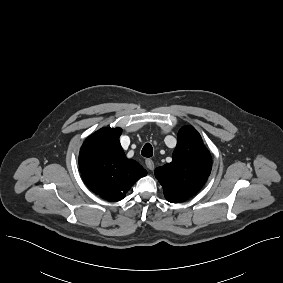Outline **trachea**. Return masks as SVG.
I'll list each match as a JSON object with an SVG mask.
<instances>
[{
    "label": "trachea",
    "instance_id": "3493384b",
    "mask_svg": "<svg viewBox=\"0 0 283 283\" xmlns=\"http://www.w3.org/2000/svg\"><path fill=\"white\" fill-rule=\"evenodd\" d=\"M141 154L144 156V157H152L153 155V148L151 146V144L149 143H146L141 151Z\"/></svg>",
    "mask_w": 283,
    "mask_h": 283
}]
</instances>
